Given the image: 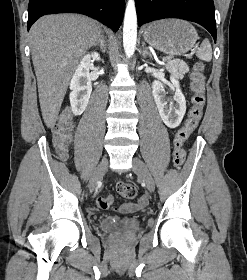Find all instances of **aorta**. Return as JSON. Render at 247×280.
Instances as JSON below:
<instances>
[{"label": "aorta", "mask_w": 247, "mask_h": 280, "mask_svg": "<svg viewBox=\"0 0 247 280\" xmlns=\"http://www.w3.org/2000/svg\"><path fill=\"white\" fill-rule=\"evenodd\" d=\"M137 41V15L134 0H128L123 25V46L128 58L132 57Z\"/></svg>", "instance_id": "obj_1"}]
</instances>
